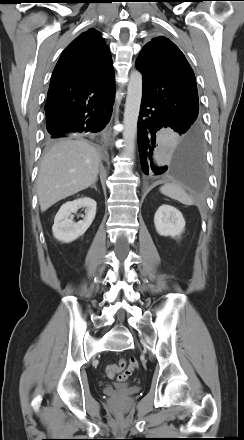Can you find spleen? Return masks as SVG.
Returning a JSON list of instances; mask_svg holds the SVG:
<instances>
[{"label":"spleen","mask_w":244,"mask_h":440,"mask_svg":"<svg viewBox=\"0 0 244 440\" xmlns=\"http://www.w3.org/2000/svg\"><path fill=\"white\" fill-rule=\"evenodd\" d=\"M160 192L170 197L171 199L177 200L185 205H193V199L186 193V191L177 183H167L160 188Z\"/></svg>","instance_id":"3e777b00"}]
</instances>
